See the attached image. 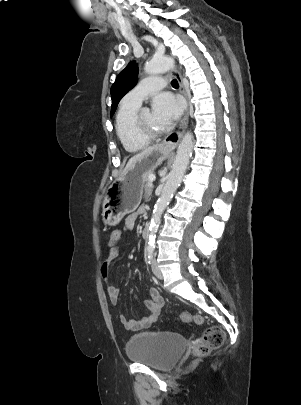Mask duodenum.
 <instances>
[{
	"mask_svg": "<svg viewBox=\"0 0 301 405\" xmlns=\"http://www.w3.org/2000/svg\"><path fill=\"white\" fill-rule=\"evenodd\" d=\"M148 234H149V225L146 224V225L144 226V228L142 229V237H143V238H147V237H148Z\"/></svg>",
	"mask_w": 301,
	"mask_h": 405,
	"instance_id": "obj_1",
	"label": "duodenum"
}]
</instances>
